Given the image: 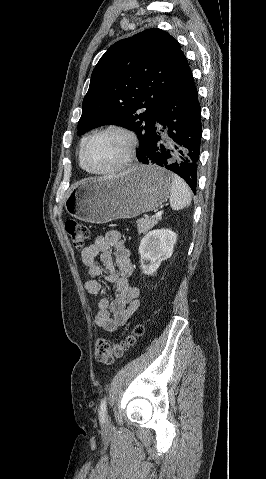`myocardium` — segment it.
I'll return each mask as SVG.
<instances>
[{"label":"myocardium","instance_id":"myocardium-1","mask_svg":"<svg viewBox=\"0 0 266 479\" xmlns=\"http://www.w3.org/2000/svg\"><path fill=\"white\" fill-rule=\"evenodd\" d=\"M109 132H114V133H118V134H121L123 135L124 137H126L127 141H128V146H127V150H126V153L123 157V159L113 168L111 169H108V170H104V171H99V170H96V169H93L88 161H87V152H88V149L91 145V143L93 142V140L102 135V134H105V133H109ZM136 146H137V137L135 135V133L133 131H131L130 129L128 128H125V127H122V126H117V125H110V126H106V127H103L95 132H93L86 140L85 144H84V147H83V150H82V161L84 163V166L86 167V169L88 170V172L92 173V174H95V175H110V174H114L122 169H124L131 161L133 155H134V152H135V149H136Z\"/></svg>","mask_w":266,"mask_h":479}]
</instances>
